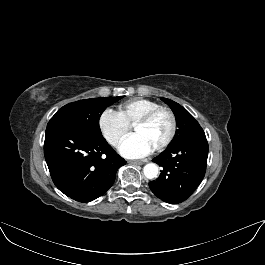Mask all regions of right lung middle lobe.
<instances>
[{
    "instance_id": "right-lung-middle-lobe-1",
    "label": "right lung middle lobe",
    "mask_w": 265,
    "mask_h": 265,
    "mask_svg": "<svg viewBox=\"0 0 265 265\" xmlns=\"http://www.w3.org/2000/svg\"><path fill=\"white\" fill-rule=\"evenodd\" d=\"M123 98L105 97L79 100L59 109L50 119L47 128L56 126L73 127L100 136L99 119L104 110Z\"/></svg>"
}]
</instances>
